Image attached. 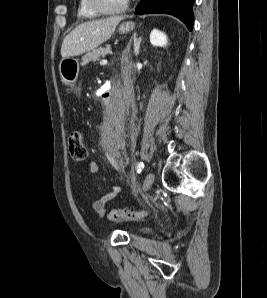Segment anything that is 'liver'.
Wrapping results in <instances>:
<instances>
[{
  "label": "liver",
  "instance_id": "obj_1",
  "mask_svg": "<svg viewBox=\"0 0 267 298\" xmlns=\"http://www.w3.org/2000/svg\"><path fill=\"white\" fill-rule=\"evenodd\" d=\"M123 19V16H114L81 23L64 38L61 46L62 59L95 49L112 36Z\"/></svg>",
  "mask_w": 267,
  "mask_h": 298
}]
</instances>
